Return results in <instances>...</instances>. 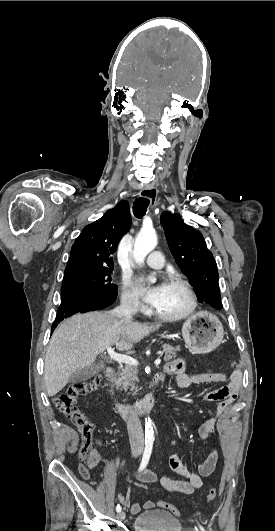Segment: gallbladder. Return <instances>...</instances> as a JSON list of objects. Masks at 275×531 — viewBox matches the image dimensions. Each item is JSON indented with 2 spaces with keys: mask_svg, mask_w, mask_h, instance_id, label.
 Returning <instances> with one entry per match:
<instances>
[{
  "mask_svg": "<svg viewBox=\"0 0 275 531\" xmlns=\"http://www.w3.org/2000/svg\"><path fill=\"white\" fill-rule=\"evenodd\" d=\"M104 367L105 365L103 361H99V363H94V365H90V367H85V369L75 371V373H72L69 383H84V381H88V379H91V377H94V375L101 373Z\"/></svg>",
  "mask_w": 275,
  "mask_h": 531,
  "instance_id": "bac80fb5",
  "label": "gallbladder"
}]
</instances>
